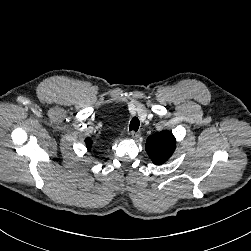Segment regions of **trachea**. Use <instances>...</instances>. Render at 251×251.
<instances>
[{
	"label": "trachea",
	"instance_id": "obj_1",
	"mask_svg": "<svg viewBox=\"0 0 251 251\" xmlns=\"http://www.w3.org/2000/svg\"><path fill=\"white\" fill-rule=\"evenodd\" d=\"M139 126H140L139 119L137 117H134L130 122L129 130L137 132Z\"/></svg>",
	"mask_w": 251,
	"mask_h": 251
}]
</instances>
